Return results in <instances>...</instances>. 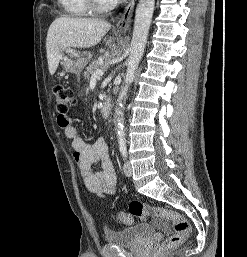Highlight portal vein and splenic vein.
<instances>
[{
	"instance_id": "obj_1",
	"label": "portal vein and splenic vein",
	"mask_w": 247,
	"mask_h": 257,
	"mask_svg": "<svg viewBox=\"0 0 247 257\" xmlns=\"http://www.w3.org/2000/svg\"><path fill=\"white\" fill-rule=\"evenodd\" d=\"M104 72L100 69H97L91 76V82L96 81L101 76H103Z\"/></svg>"
}]
</instances>
